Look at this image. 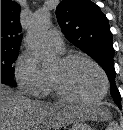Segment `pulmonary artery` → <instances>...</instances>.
<instances>
[{
  "label": "pulmonary artery",
  "instance_id": "1",
  "mask_svg": "<svg viewBox=\"0 0 123 130\" xmlns=\"http://www.w3.org/2000/svg\"><path fill=\"white\" fill-rule=\"evenodd\" d=\"M47 42L49 46L58 52L64 51V41L61 32L57 30H51L47 36Z\"/></svg>",
  "mask_w": 123,
  "mask_h": 130
}]
</instances>
